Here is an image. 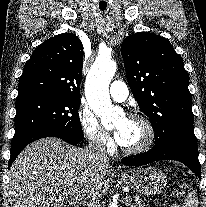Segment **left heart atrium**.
I'll use <instances>...</instances> for the list:
<instances>
[{"label": "left heart atrium", "mask_w": 206, "mask_h": 207, "mask_svg": "<svg viewBox=\"0 0 206 207\" xmlns=\"http://www.w3.org/2000/svg\"><path fill=\"white\" fill-rule=\"evenodd\" d=\"M115 139L119 144H122L123 139H124V133L122 130H117L115 132Z\"/></svg>", "instance_id": "39dd6f15"}]
</instances>
